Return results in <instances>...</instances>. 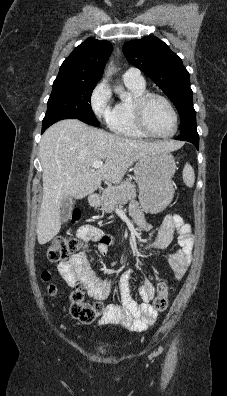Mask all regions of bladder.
Wrapping results in <instances>:
<instances>
[{"label":"bladder","mask_w":227,"mask_h":396,"mask_svg":"<svg viewBox=\"0 0 227 396\" xmlns=\"http://www.w3.org/2000/svg\"><path fill=\"white\" fill-rule=\"evenodd\" d=\"M97 350H98L100 353H106V352H107V349L104 348V347H101V346L97 347Z\"/></svg>","instance_id":"obj_1"}]
</instances>
